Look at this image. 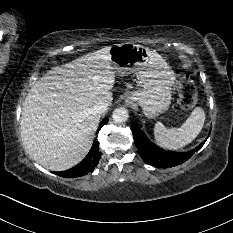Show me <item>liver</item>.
I'll use <instances>...</instances> for the list:
<instances>
[{"label": "liver", "mask_w": 233, "mask_h": 233, "mask_svg": "<svg viewBox=\"0 0 233 233\" xmlns=\"http://www.w3.org/2000/svg\"><path fill=\"white\" fill-rule=\"evenodd\" d=\"M109 49L53 67L27 94L20 121L22 143L43 167L67 170L89 152L100 120L92 108L113 100L116 71Z\"/></svg>", "instance_id": "1"}]
</instances>
